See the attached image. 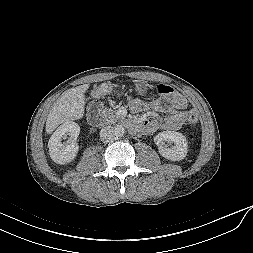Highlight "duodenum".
<instances>
[{
    "label": "duodenum",
    "instance_id": "duodenum-1",
    "mask_svg": "<svg viewBox=\"0 0 253 253\" xmlns=\"http://www.w3.org/2000/svg\"><path fill=\"white\" fill-rule=\"evenodd\" d=\"M88 122L92 126H100L103 123L102 106L98 102H93L88 109ZM127 127L132 131L136 132L139 129L138 124L132 121L126 122Z\"/></svg>",
    "mask_w": 253,
    "mask_h": 253
}]
</instances>
